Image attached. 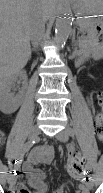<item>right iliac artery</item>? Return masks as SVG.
Segmentation results:
<instances>
[{
  "label": "right iliac artery",
  "instance_id": "82829eb1",
  "mask_svg": "<svg viewBox=\"0 0 103 193\" xmlns=\"http://www.w3.org/2000/svg\"><path fill=\"white\" fill-rule=\"evenodd\" d=\"M38 141V139H33L28 141L22 148L21 153L19 154L18 158L16 159L15 163H14V168L15 170H18L20 168V165L23 161V156L26 152H28L30 150V148ZM14 170V171H15Z\"/></svg>",
  "mask_w": 103,
  "mask_h": 193
}]
</instances>
